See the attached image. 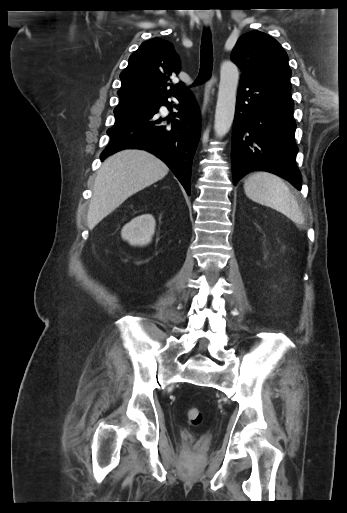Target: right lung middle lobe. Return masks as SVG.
Listing matches in <instances>:
<instances>
[{
  "label": "right lung middle lobe",
  "mask_w": 347,
  "mask_h": 513,
  "mask_svg": "<svg viewBox=\"0 0 347 513\" xmlns=\"http://www.w3.org/2000/svg\"><path fill=\"white\" fill-rule=\"evenodd\" d=\"M153 104H154V103L149 102V103H145V104H142V105H140V106H138V107H133V108H131V107H126V106H118V107H116V108H115L114 113H115V114H119V113H123V112H127V111H132V110H136V109H141V108L149 107V106H151V105H153Z\"/></svg>",
  "instance_id": "1"
}]
</instances>
